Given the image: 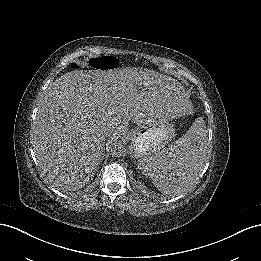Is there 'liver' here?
I'll use <instances>...</instances> for the list:
<instances>
[{
  "mask_svg": "<svg viewBox=\"0 0 261 261\" xmlns=\"http://www.w3.org/2000/svg\"><path fill=\"white\" fill-rule=\"evenodd\" d=\"M130 92L110 73L98 71L74 72L51 87L39 102L35 123L39 166L61 181L79 180L95 169L105 138L124 129L117 115L121 107H134L139 123L161 112L164 103L142 104Z\"/></svg>",
  "mask_w": 261,
  "mask_h": 261,
  "instance_id": "1",
  "label": "liver"
}]
</instances>
